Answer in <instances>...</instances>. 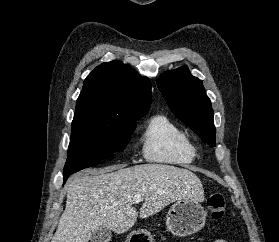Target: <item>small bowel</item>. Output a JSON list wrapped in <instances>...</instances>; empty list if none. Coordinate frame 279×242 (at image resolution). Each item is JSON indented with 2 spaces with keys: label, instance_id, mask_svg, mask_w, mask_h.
Instances as JSON below:
<instances>
[{
  "label": "small bowel",
  "instance_id": "small-bowel-1",
  "mask_svg": "<svg viewBox=\"0 0 279 242\" xmlns=\"http://www.w3.org/2000/svg\"><path fill=\"white\" fill-rule=\"evenodd\" d=\"M215 242H227V241L224 239H217Z\"/></svg>",
  "mask_w": 279,
  "mask_h": 242
}]
</instances>
